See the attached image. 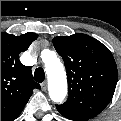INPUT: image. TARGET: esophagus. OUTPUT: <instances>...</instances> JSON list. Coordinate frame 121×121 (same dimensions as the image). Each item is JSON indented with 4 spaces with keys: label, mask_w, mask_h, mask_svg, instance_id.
Here are the masks:
<instances>
[{
    "label": "esophagus",
    "mask_w": 121,
    "mask_h": 121,
    "mask_svg": "<svg viewBox=\"0 0 121 121\" xmlns=\"http://www.w3.org/2000/svg\"><path fill=\"white\" fill-rule=\"evenodd\" d=\"M41 89H42V91H46L47 90V82L46 81L41 83Z\"/></svg>",
    "instance_id": "esophagus-1"
}]
</instances>
